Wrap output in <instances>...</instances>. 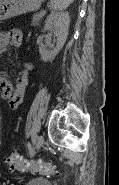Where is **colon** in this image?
<instances>
[{"instance_id": "obj_1", "label": "colon", "mask_w": 119, "mask_h": 185, "mask_svg": "<svg viewBox=\"0 0 119 185\" xmlns=\"http://www.w3.org/2000/svg\"><path fill=\"white\" fill-rule=\"evenodd\" d=\"M5 162L11 171H29L37 174H53L55 173L54 167L43 161H27L16 151L12 152L5 158Z\"/></svg>"}]
</instances>
